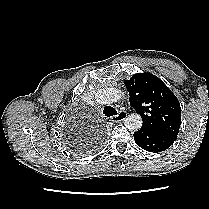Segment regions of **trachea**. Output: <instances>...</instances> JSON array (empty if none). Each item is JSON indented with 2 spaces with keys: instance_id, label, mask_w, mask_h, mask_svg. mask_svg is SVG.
Wrapping results in <instances>:
<instances>
[{
  "instance_id": "trachea-1",
  "label": "trachea",
  "mask_w": 209,
  "mask_h": 209,
  "mask_svg": "<svg viewBox=\"0 0 209 209\" xmlns=\"http://www.w3.org/2000/svg\"><path fill=\"white\" fill-rule=\"evenodd\" d=\"M103 114L107 117L113 116V115H117V111L115 108L111 107V106H106L103 110Z\"/></svg>"
}]
</instances>
